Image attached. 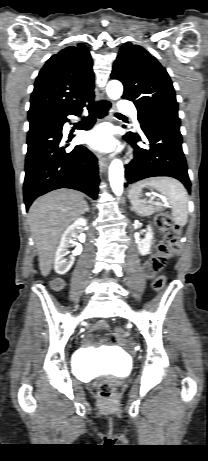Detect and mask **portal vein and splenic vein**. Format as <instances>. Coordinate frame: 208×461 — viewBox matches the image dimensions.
Returning <instances> with one entry per match:
<instances>
[{
    "instance_id": "18ae733b",
    "label": "portal vein and splenic vein",
    "mask_w": 208,
    "mask_h": 461,
    "mask_svg": "<svg viewBox=\"0 0 208 461\" xmlns=\"http://www.w3.org/2000/svg\"><path fill=\"white\" fill-rule=\"evenodd\" d=\"M148 203H150V204H156V205L161 204L160 201H154V198H153V197L150 198V200L148 201Z\"/></svg>"
}]
</instances>
